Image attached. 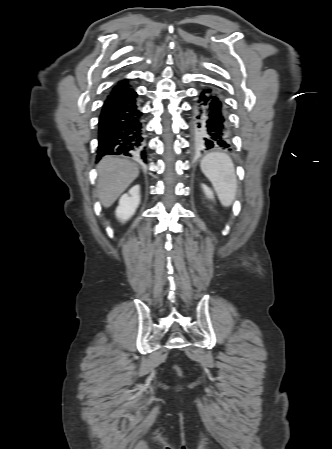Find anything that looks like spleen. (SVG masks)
I'll return each mask as SVG.
<instances>
[{"label": "spleen", "mask_w": 332, "mask_h": 449, "mask_svg": "<svg viewBox=\"0 0 332 449\" xmlns=\"http://www.w3.org/2000/svg\"><path fill=\"white\" fill-rule=\"evenodd\" d=\"M201 170L211 181L219 200L230 206L235 199L237 179L232 159L225 153H209L201 160Z\"/></svg>", "instance_id": "spleen-1"}]
</instances>
